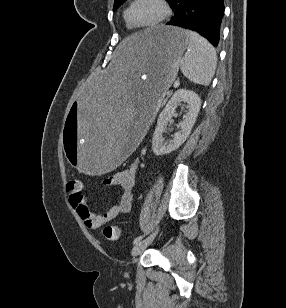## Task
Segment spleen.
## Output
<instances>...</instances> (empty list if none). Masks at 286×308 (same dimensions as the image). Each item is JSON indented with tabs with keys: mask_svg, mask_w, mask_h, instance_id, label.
<instances>
[{
	"mask_svg": "<svg viewBox=\"0 0 286 308\" xmlns=\"http://www.w3.org/2000/svg\"><path fill=\"white\" fill-rule=\"evenodd\" d=\"M188 51L180 59V69L193 83L208 86L215 73L217 55L214 47L201 35L186 30Z\"/></svg>",
	"mask_w": 286,
	"mask_h": 308,
	"instance_id": "1",
	"label": "spleen"
}]
</instances>
